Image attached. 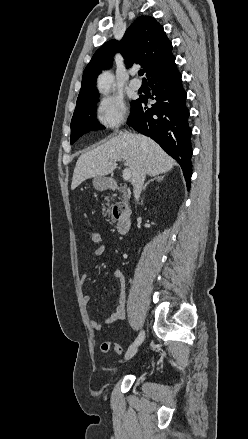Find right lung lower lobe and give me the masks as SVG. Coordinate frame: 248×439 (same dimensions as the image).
<instances>
[{
    "mask_svg": "<svg viewBox=\"0 0 248 439\" xmlns=\"http://www.w3.org/2000/svg\"><path fill=\"white\" fill-rule=\"evenodd\" d=\"M148 83L156 103L148 107L147 97L140 96L132 106L127 124L154 139L180 164L189 190L192 175L191 129L181 74L173 64L154 73L148 78Z\"/></svg>",
    "mask_w": 248,
    "mask_h": 439,
    "instance_id": "obj_1",
    "label": "right lung lower lobe"
}]
</instances>
